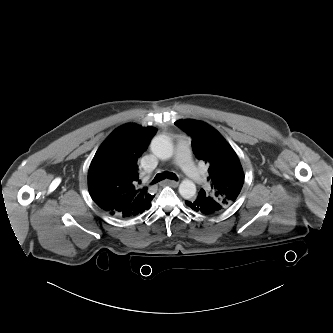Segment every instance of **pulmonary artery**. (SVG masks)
<instances>
[{
    "label": "pulmonary artery",
    "mask_w": 333,
    "mask_h": 333,
    "mask_svg": "<svg viewBox=\"0 0 333 333\" xmlns=\"http://www.w3.org/2000/svg\"><path fill=\"white\" fill-rule=\"evenodd\" d=\"M176 162L183 171L190 177L192 181L201 184L203 181L202 175L196 166L193 164L190 156L189 145L186 140H179L176 147Z\"/></svg>",
    "instance_id": "obj_1"
}]
</instances>
